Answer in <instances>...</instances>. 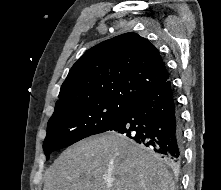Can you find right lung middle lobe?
<instances>
[{
    "instance_id": "obj_1",
    "label": "right lung middle lobe",
    "mask_w": 221,
    "mask_h": 190,
    "mask_svg": "<svg viewBox=\"0 0 221 190\" xmlns=\"http://www.w3.org/2000/svg\"><path fill=\"white\" fill-rule=\"evenodd\" d=\"M128 105V102L122 100L102 99L55 110L48 121L43 144L46 158L49 159L52 151L111 130L123 117Z\"/></svg>"
}]
</instances>
